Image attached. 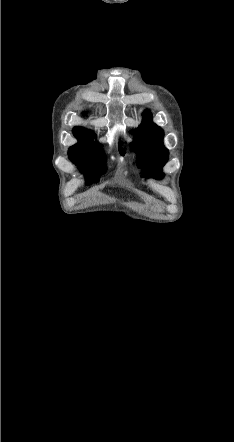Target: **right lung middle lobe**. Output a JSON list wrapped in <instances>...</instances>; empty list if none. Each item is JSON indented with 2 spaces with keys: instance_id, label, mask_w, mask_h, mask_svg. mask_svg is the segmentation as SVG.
<instances>
[{
  "instance_id": "1",
  "label": "right lung middle lobe",
  "mask_w": 234,
  "mask_h": 442,
  "mask_svg": "<svg viewBox=\"0 0 234 442\" xmlns=\"http://www.w3.org/2000/svg\"><path fill=\"white\" fill-rule=\"evenodd\" d=\"M69 158L86 175L87 184L98 182L101 174L106 170L105 155L101 147L88 148L78 143L70 147Z\"/></svg>"
}]
</instances>
